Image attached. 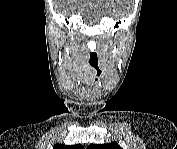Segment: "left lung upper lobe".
<instances>
[{"label": "left lung upper lobe", "mask_w": 177, "mask_h": 149, "mask_svg": "<svg viewBox=\"0 0 177 149\" xmlns=\"http://www.w3.org/2000/svg\"><path fill=\"white\" fill-rule=\"evenodd\" d=\"M88 148L90 149H121V147L116 142H112L110 144H105V145L91 144Z\"/></svg>", "instance_id": "obj_1"}]
</instances>
